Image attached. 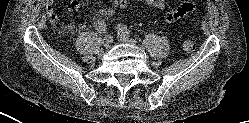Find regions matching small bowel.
<instances>
[{
    "mask_svg": "<svg viewBox=\"0 0 249 123\" xmlns=\"http://www.w3.org/2000/svg\"><path fill=\"white\" fill-rule=\"evenodd\" d=\"M55 0H45L44 6L46 10V17L51 23H56L58 20V14L55 12L53 8V3ZM149 5L164 9L165 8V0H145ZM111 6L102 8L98 10V15L100 17H110L114 14L116 10L125 9L129 0H110ZM195 8L193 2H184L180 6L175 9L169 10L166 12L165 19L168 22H175L188 13H190ZM80 9V2L78 0H73L69 7V13L72 15L76 13ZM96 26V24H95Z\"/></svg>",
    "mask_w": 249,
    "mask_h": 123,
    "instance_id": "1",
    "label": "small bowel"
}]
</instances>
